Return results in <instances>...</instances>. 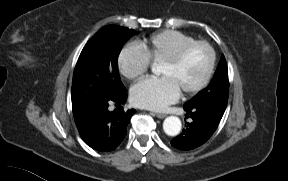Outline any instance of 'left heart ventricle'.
Returning a JSON list of instances; mask_svg holds the SVG:
<instances>
[{
    "instance_id": "1",
    "label": "left heart ventricle",
    "mask_w": 288,
    "mask_h": 181,
    "mask_svg": "<svg viewBox=\"0 0 288 181\" xmlns=\"http://www.w3.org/2000/svg\"><path fill=\"white\" fill-rule=\"evenodd\" d=\"M211 55L204 46H197L190 50L176 65L159 64L157 74L169 78L179 91L197 85L207 73Z\"/></svg>"
}]
</instances>
